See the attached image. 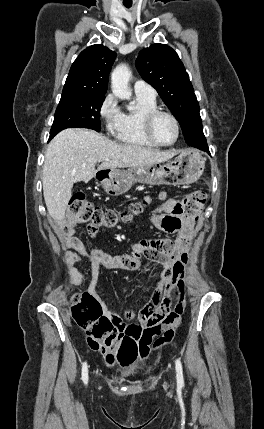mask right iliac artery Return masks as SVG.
I'll return each mask as SVG.
<instances>
[{
  "instance_id": "obj_1",
  "label": "right iliac artery",
  "mask_w": 264,
  "mask_h": 429,
  "mask_svg": "<svg viewBox=\"0 0 264 429\" xmlns=\"http://www.w3.org/2000/svg\"><path fill=\"white\" fill-rule=\"evenodd\" d=\"M82 380L85 384L88 383V366L86 362L82 365Z\"/></svg>"
}]
</instances>
